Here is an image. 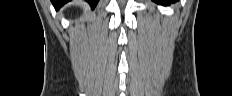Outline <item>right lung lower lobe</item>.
Masks as SVG:
<instances>
[{"label":"right lung lower lobe","mask_w":232,"mask_h":96,"mask_svg":"<svg viewBox=\"0 0 232 96\" xmlns=\"http://www.w3.org/2000/svg\"><path fill=\"white\" fill-rule=\"evenodd\" d=\"M53 6L55 7L56 10L60 9L65 3L71 1V0H51ZM92 8H95V6L98 3V0H86Z\"/></svg>","instance_id":"1"}]
</instances>
